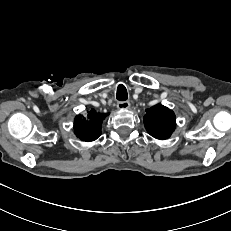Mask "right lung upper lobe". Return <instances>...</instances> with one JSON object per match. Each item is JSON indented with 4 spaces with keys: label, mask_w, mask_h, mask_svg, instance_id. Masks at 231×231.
I'll return each instance as SVG.
<instances>
[{
    "label": "right lung upper lobe",
    "mask_w": 231,
    "mask_h": 231,
    "mask_svg": "<svg viewBox=\"0 0 231 231\" xmlns=\"http://www.w3.org/2000/svg\"><path fill=\"white\" fill-rule=\"evenodd\" d=\"M107 115L91 109L86 117L83 115L76 116L74 120L75 135L86 142L96 140L101 135L102 122Z\"/></svg>",
    "instance_id": "1"
}]
</instances>
